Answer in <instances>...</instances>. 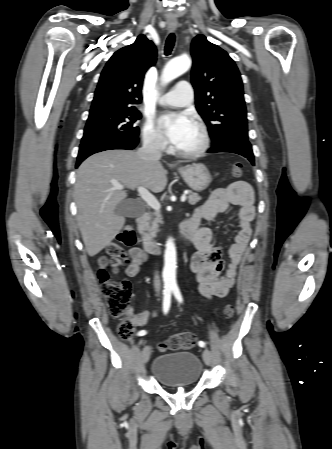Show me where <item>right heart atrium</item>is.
<instances>
[{"label":"right heart atrium","instance_id":"1","mask_svg":"<svg viewBox=\"0 0 332 449\" xmlns=\"http://www.w3.org/2000/svg\"><path fill=\"white\" fill-rule=\"evenodd\" d=\"M143 140L145 144L158 151L167 149V141L163 134L156 128L152 120H147L143 127Z\"/></svg>","mask_w":332,"mask_h":449}]
</instances>
